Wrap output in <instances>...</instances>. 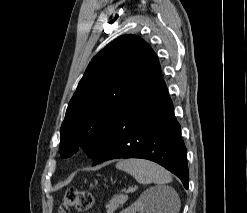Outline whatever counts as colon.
<instances>
[{
	"instance_id": "1",
	"label": "colon",
	"mask_w": 247,
	"mask_h": 213,
	"mask_svg": "<svg viewBox=\"0 0 247 213\" xmlns=\"http://www.w3.org/2000/svg\"><path fill=\"white\" fill-rule=\"evenodd\" d=\"M94 200L89 191L70 188L66 191L59 213H69L73 208L79 213H91Z\"/></svg>"
}]
</instances>
